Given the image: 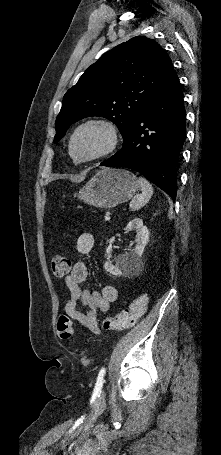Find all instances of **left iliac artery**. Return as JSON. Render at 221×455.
<instances>
[{"label": "left iliac artery", "mask_w": 221, "mask_h": 455, "mask_svg": "<svg viewBox=\"0 0 221 455\" xmlns=\"http://www.w3.org/2000/svg\"><path fill=\"white\" fill-rule=\"evenodd\" d=\"M105 373H106V369L104 367L101 368V370H100V372L98 374V377H97L96 384H95V389L96 390H101L102 389L103 378H104Z\"/></svg>", "instance_id": "1"}]
</instances>
